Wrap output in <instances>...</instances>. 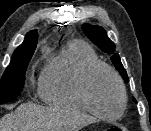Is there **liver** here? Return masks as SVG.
I'll return each mask as SVG.
<instances>
[{
  "mask_svg": "<svg viewBox=\"0 0 151 131\" xmlns=\"http://www.w3.org/2000/svg\"><path fill=\"white\" fill-rule=\"evenodd\" d=\"M94 118L70 107L24 103L0 120V131H79Z\"/></svg>",
  "mask_w": 151,
  "mask_h": 131,
  "instance_id": "liver-1",
  "label": "liver"
}]
</instances>
